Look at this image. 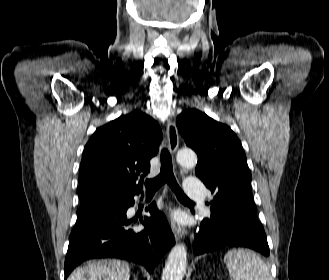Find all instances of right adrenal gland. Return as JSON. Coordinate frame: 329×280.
I'll list each match as a JSON object with an SVG mask.
<instances>
[{"label": "right adrenal gland", "mask_w": 329, "mask_h": 280, "mask_svg": "<svg viewBox=\"0 0 329 280\" xmlns=\"http://www.w3.org/2000/svg\"><path fill=\"white\" fill-rule=\"evenodd\" d=\"M134 280H137L136 276L134 277Z\"/></svg>", "instance_id": "1"}]
</instances>
